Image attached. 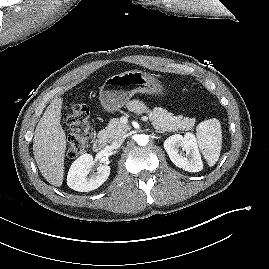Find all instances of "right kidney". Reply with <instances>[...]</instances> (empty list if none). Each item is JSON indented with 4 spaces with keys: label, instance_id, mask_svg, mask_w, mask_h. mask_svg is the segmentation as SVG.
Wrapping results in <instances>:
<instances>
[{
    "label": "right kidney",
    "instance_id": "1",
    "mask_svg": "<svg viewBox=\"0 0 269 269\" xmlns=\"http://www.w3.org/2000/svg\"><path fill=\"white\" fill-rule=\"evenodd\" d=\"M94 165L91 154H83L71 165L67 175V185L79 192H88L100 187L110 175V167L101 165L97 172L88 177L90 168Z\"/></svg>",
    "mask_w": 269,
    "mask_h": 269
}]
</instances>
